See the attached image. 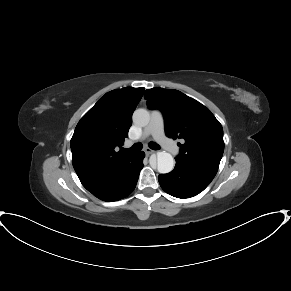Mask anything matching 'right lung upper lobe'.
<instances>
[{
  "label": "right lung upper lobe",
  "instance_id": "cb5924a9",
  "mask_svg": "<svg viewBox=\"0 0 291 291\" xmlns=\"http://www.w3.org/2000/svg\"><path fill=\"white\" fill-rule=\"evenodd\" d=\"M144 88L112 90L81 118L71 139L72 163L80 180L113 171L134 153L116 152L132 124V114Z\"/></svg>",
  "mask_w": 291,
  "mask_h": 291
}]
</instances>
